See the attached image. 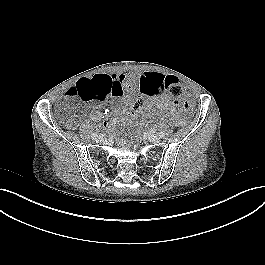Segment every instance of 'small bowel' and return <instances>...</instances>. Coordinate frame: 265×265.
<instances>
[{
	"label": "small bowel",
	"instance_id": "obj_1",
	"mask_svg": "<svg viewBox=\"0 0 265 265\" xmlns=\"http://www.w3.org/2000/svg\"><path fill=\"white\" fill-rule=\"evenodd\" d=\"M165 74L158 71H145L138 75H122V74H96L89 78H83L87 80L94 79H106L110 84L111 95L115 97L123 96L126 92L134 93L138 92L145 98L143 101L141 98V107H144L146 111L152 108L166 109L170 112H175L177 104L174 103L162 89V83L165 78ZM71 88V87H70ZM69 88V89H70ZM68 89V90H69ZM127 104H131L132 99L130 95L126 96ZM120 114L119 109L113 111V118L103 122V127L111 129L118 122V116ZM91 119L99 121L101 114L99 112L91 113Z\"/></svg>",
	"mask_w": 265,
	"mask_h": 265
}]
</instances>
